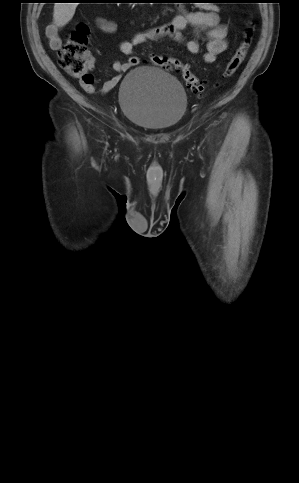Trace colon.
Here are the masks:
<instances>
[{
	"instance_id": "colon-1",
	"label": "colon",
	"mask_w": 299,
	"mask_h": 483,
	"mask_svg": "<svg viewBox=\"0 0 299 483\" xmlns=\"http://www.w3.org/2000/svg\"><path fill=\"white\" fill-rule=\"evenodd\" d=\"M253 31V20L248 17L245 21L242 39L224 69L222 75L224 79L231 78L244 61L252 43ZM88 40L89 28L86 24L81 23L69 34L67 41L61 47L59 64L70 76L78 79L84 88L91 89L94 85V78L88 73L86 65ZM148 62L165 71H180L185 83L192 91L199 95L205 91L204 83L181 60L167 55L152 54Z\"/></svg>"
}]
</instances>
